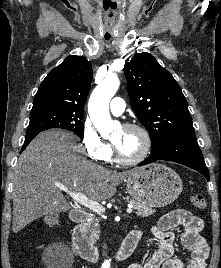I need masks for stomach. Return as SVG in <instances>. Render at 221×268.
Returning a JSON list of instances; mask_svg holds the SVG:
<instances>
[{
  "mask_svg": "<svg viewBox=\"0 0 221 268\" xmlns=\"http://www.w3.org/2000/svg\"><path fill=\"white\" fill-rule=\"evenodd\" d=\"M126 189L136 201L150 207H164L175 201L183 186L179 175L163 164L135 169L126 179Z\"/></svg>",
  "mask_w": 221,
  "mask_h": 268,
  "instance_id": "stomach-1",
  "label": "stomach"
}]
</instances>
